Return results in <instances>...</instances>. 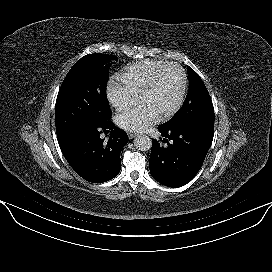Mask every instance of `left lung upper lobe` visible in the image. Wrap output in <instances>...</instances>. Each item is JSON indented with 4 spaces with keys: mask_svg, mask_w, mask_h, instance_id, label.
Segmentation results:
<instances>
[{
    "mask_svg": "<svg viewBox=\"0 0 272 272\" xmlns=\"http://www.w3.org/2000/svg\"><path fill=\"white\" fill-rule=\"evenodd\" d=\"M189 90L182 108L167 123V128L189 125L214 126V108L209 93L200 76L188 66Z\"/></svg>",
    "mask_w": 272,
    "mask_h": 272,
    "instance_id": "left-lung-upper-lobe-1",
    "label": "left lung upper lobe"
}]
</instances>
